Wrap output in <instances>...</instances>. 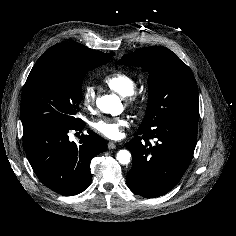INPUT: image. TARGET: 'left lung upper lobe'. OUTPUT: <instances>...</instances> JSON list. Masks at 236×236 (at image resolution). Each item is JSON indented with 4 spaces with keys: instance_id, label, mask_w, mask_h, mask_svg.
I'll use <instances>...</instances> for the list:
<instances>
[{
    "instance_id": "left-lung-upper-lobe-1",
    "label": "left lung upper lobe",
    "mask_w": 236,
    "mask_h": 236,
    "mask_svg": "<svg viewBox=\"0 0 236 236\" xmlns=\"http://www.w3.org/2000/svg\"><path fill=\"white\" fill-rule=\"evenodd\" d=\"M121 64L149 73L147 113L139 127L150 129L170 118L199 119L198 89L191 69L171 50L146 47L124 55Z\"/></svg>"
}]
</instances>
